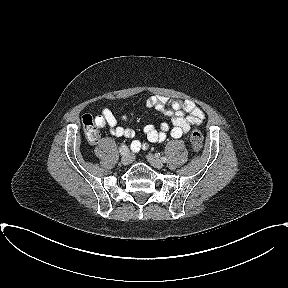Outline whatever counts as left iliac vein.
Instances as JSON below:
<instances>
[{
	"mask_svg": "<svg viewBox=\"0 0 288 288\" xmlns=\"http://www.w3.org/2000/svg\"><path fill=\"white\" fill-rule=\"evenodd\" d=\"M147 160L155 168L160 169L164 166L163 161L156 155H153V154L147 155Z\"/></svg>",
	"mask_w": 288,
	"mask_h": 288,
	"instance_id": "4c4485c4",
	"label": "left iliac vein"
}]
</instances>
